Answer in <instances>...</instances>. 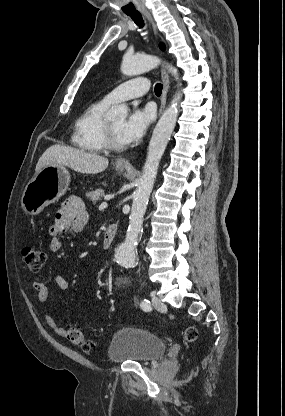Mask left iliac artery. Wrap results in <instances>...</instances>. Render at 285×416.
Masks as SVG:
<instances>
[{
	"label": "left iliac artery",
	"instance_id": "obj_1",
	"mask_svg": "<svg viewBox=\"0 0 285 416\" xmlns=\"http://www.w3.org/2000/svg\"><path fill=\"white\" fill-rule=\"evenodd\" d=\"M151 295H153V294H151ZM140 306L144 311H150L152 309L151 305H150V301L147 300V299H143Z\"/></svg>",
	"mask_w": 285,
	"mask_h": 416
}]
</instances>
